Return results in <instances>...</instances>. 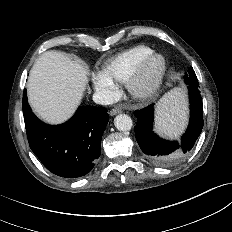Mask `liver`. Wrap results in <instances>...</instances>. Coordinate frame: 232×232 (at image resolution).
<instances>
[{"label": "liver", "mask_w": 232, "mask_h": 232, "mask_svg": "<svg viewBox=\"0 0 232 232\" xmlns=\"http://www.w3.org/2000/svg\"><path fill=\"white\" fill-rule=\"evenodd\" d=\"M88 73L84 64L61 52L50 50L43 53L30 70L29 103L48 123L66 121L81 102Z\"/></svg>", "instance_id": "obj_1"}]
</instances>
